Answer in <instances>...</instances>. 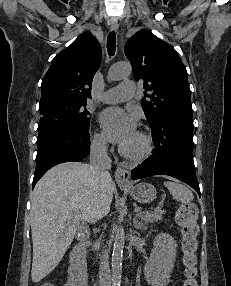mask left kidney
Listing matches in <instances>:
<instances>
[{"label": "left kidney", "mask_w": 231, "mask_h": 286, "mask_svg": "<svg viewBox=\"0 0 231 286\" xmlns=\"http://www.w3.org/2000/svg\"><path fill=\"white\" fill-rule=\"evenodd\" d=\"M154 247L144 266L146 281L152 286H166L176 259V241L166 233H160L154 239Z\"/></svg>", "instance_id": "5707ae66"}]
</instances>
